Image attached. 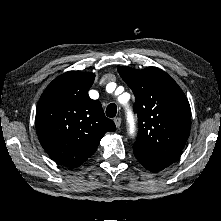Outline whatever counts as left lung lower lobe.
<instances>
[{
    "label": "left lung lower lobe",
    "instance_id": "1",
    "mask_svg": "<svg viewBox=\"0 0 221 221\" xmlns=\"http://www.w3.org/2000/svg\"><path fill=\"white\" fill-rule=\"evenodd\" d=\"M134 155L145 168L152 172H158L173 163L153 158L141 151H134Z\"/></svg>",
    "mask_w": 221,
    "mask_h": 221
}]
</instances>
